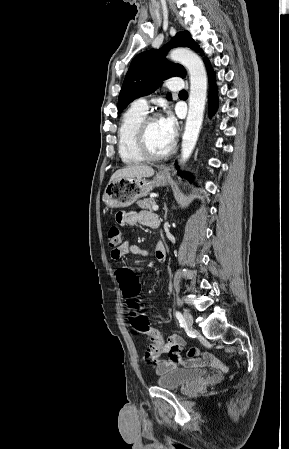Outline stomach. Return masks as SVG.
Instances as JSON below:
<instances>
[{
    "instance_id": "stomach-1",
    "label": "stomach",
    "mask_w": 289,
    "mask_h": 449,
    "mask_svg": "<svg viewBox=\"0 0 289 449\" xmlns=\"http://www.w3.org/2000/svg\"><path fill=\"white\" fill-rule=\"evenodd\" d=\"M168 175L157 173L152 180L145 178H118L110 181L105 188L103 201L110 208H124L139 198L145 197L154 187L165 186Z\"/></svg>"
}]
</instances>
